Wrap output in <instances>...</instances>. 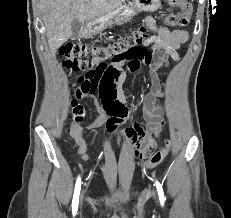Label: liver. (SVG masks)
Segmentation results:
<instances>
[{
	"label": "liver",
	"instance_id": "6515ba94",
	"mask_svg": "<svg viewBox=\"0 0 231 218\" xmlns=\"http://www.w3.org/2000/svg\"><path fill=\"white\" fill-rule=\"evenodd\" d=\"M125 0H40L48 45L52 56L72 36L71 22L107 17Z\"/></svg>",
	"mask_w": 231,
	"mask_h": 218
}]
</instances>
